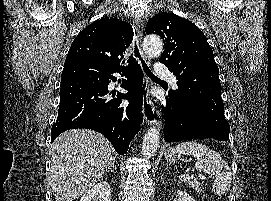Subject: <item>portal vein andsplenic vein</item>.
<instances>
[{
  "label": "portal vein and splenic vein",
  "mask_w": 271,
  "mask_h": 201,
  "mask_svg": "<svg viewBox=\"0 0 271 201\" xmlns=\"http://www.w3.org/2000/svg\"><path fill=\"white\" fill-rule=\"evenodd\" d=\"M198 177H199V179H202V180L206 179V177L202 174H199Z\"/></svg>",
  "instance_id": "portal-vein-and-splenic-vein-1"
}]
</instances>
